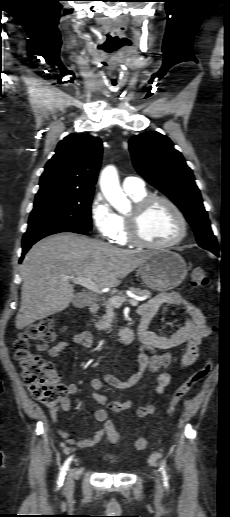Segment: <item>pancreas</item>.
<instances>
[{"label": "pancreas", "instance_id": "obj_1", "mask_svg": "<svg viewBox=\"0 0 230 517\" xmlns=\"http://www.w3.org/2000/svg\"><path fill=\"white\" fill-rule=\"evenodd\" d=\"M131 292L138 296H145L147 298H150L152 293L147 289H140L135 287L129 288ZM116 297L119 298H125V296L120 293ZM105 308V314L102 316V318L98 321L96 324V327L98 330H108V333L112 331V323L116 317V314L114 312V305L110 301H105L102 304Z\"/></svg>", "mask_w": 230, "mask_h": 517}]
</instances>
